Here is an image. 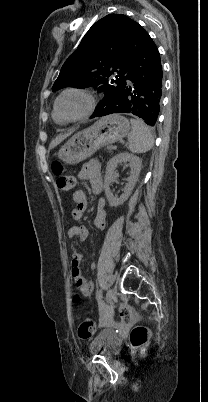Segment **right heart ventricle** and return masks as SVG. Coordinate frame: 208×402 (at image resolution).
<instances>
[{
    "label": "right heart ventricle",
    "instance_id": "right-heart-ventricle-1",
    "mask_svg": "<svg viewBox=\"0 0 208 402\" xmlns=\"http://www.w3.org/2000/svg\"><path fill=\"white\" fill-rule=\"evenodd\" d=\"M52 119L54 121L55 124L57 125H63L64 123L62 121H60V119L55 115L54 111L52 113Z\"/></svg>",
    "mask_w": 208,
    "mask_h": 402
}]
</instances>
